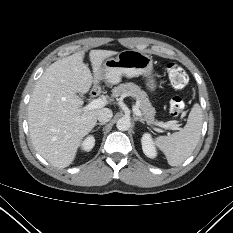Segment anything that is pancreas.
<instances>
[{
    "label": "pancreas",
    "instance_id": "obj_1",
    "mask_svg": "<svg viewBox=\"0 0 233 233\" xmlns=\"http://www.w3.org/2000/svg\"><path fill=\"white\" fill-rule=\"evenodd\" d=\"M112 96H131L137 101V105L140 108L142 118L149 124L155 123L154 115L156 113L155 108L150 103L147 94L141 90L140 86L134 83L120 84L114 87L112 90Z\"/></svg>",
    "mask_w": 233,
    "mask_h": 233
}]
</instances>
